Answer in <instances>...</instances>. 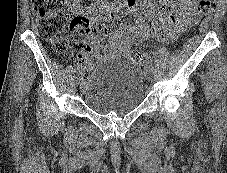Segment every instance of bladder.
<instances>
[{
    "instance_id": "31cf9c89",
    "label": "bladder",
    "mask_w": 227,
    "mask_h": 173,
    "mask_svg": "<svg viewBox=\"0 0 227 173\" xmlns=\"http://www.w3.org/2000/svg\"><path fill=\"white\" fill-rule=\"evenodd\" d=\"M144 97L139 65L126 58L103 62L88 76L82 99L95 113L124 115L135 110Z\"/></svg>"
}]
</instances>
